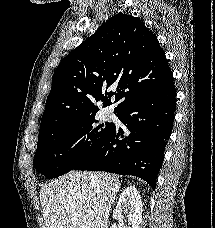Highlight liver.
Instances as JSON below:
<instances>
[{
  "label": "liver",
  "instance_id": "liver-1",
  "mask_svg": "<svg viewBox=\"0 0 215 228\" xmlns=\"http://www.w3.org/2000/svg\"><path fill=\"white\" fill-rule=\"evenodd\" d=\"M120 186L107 172H69L46 182L40 190L46 228H108Z\"/></svg>",
  "mask_w": 215,
  "mask_h": 228
}]
</instances>
